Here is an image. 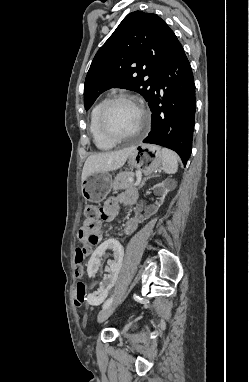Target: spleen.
Segmentation results:
<instances>
[{
	"instance_id": "spleen-1",
	"label": "spleen",
	"mask_w": 249,
	"mask_h": 382,
	"mask_svg": "<svg viewBox=\"0 0 249 382\" xmlns=\"http://www.w3.org/2000/svg\"><path fill=\"white\" fill-rule=\"evenodd\" d=\"M162 169L167 174H174L178 169V155L167 148H161Z\"/></svg>"
}]
</instances>
